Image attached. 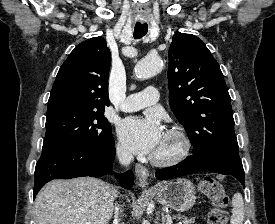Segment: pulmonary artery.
I'll list each match as a JSON object with an SVG mask.
<instances>
[{
	"mask_svg": "<svg viewBox=\"0 0 275 224\" xmlns=\"http://www.w3.org/2000/svg\"><path fill=\"white\" fill-rule=\"evenodd\" d=\"M160 92L155 87H147L142 92L132 94L126 97L120 108L126 112L137 111L158 102Z\"/></svg>",
	"mask_w": 275,
	"mask_h": 224,
	"instance_id": "obj_1",
	"label": "pulmonary artery"
}]
</instances>
